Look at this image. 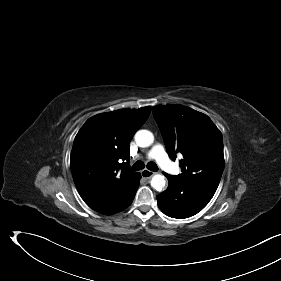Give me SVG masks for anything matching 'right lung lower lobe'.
Masks as SVG:
<instances>
[{
  "label": "right lung lower lobe",
  "instance_id": "98d812e1",
  "mask_svg": "<svg viewBox=\"0 0 281 281\" xmlns=\"http://www.w3.org/2000/svg\"><path fill=\"white\" fill-rule=\"evenodd\" d=\"M140 178H141V175H140V177H139L138 180H137L136 187H135V191H134L133 195L131 196V198L129 199V201L126 203V205L122 208V210H124L125 208H127V207L132 203V201H133V199H134V196H135V193H136V191H137V189H138V186H139V180H140ZM122 210H121V211H122ZM119 212H120V211H119Z\"/></svg>",
  "mask_w": 281,
  "mask_h": 281
}]
</instances>
